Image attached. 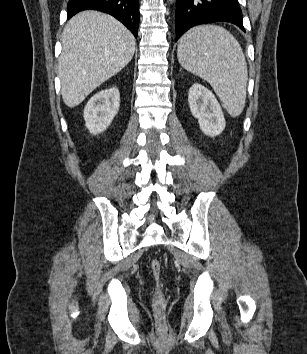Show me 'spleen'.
<instances>
[{
	"instance_id": "spleen-1",
	"label": "spleen",
	"mask_w": 307,
	"mask_h": 354,
	"mask_svg": "<svg viewBox=\"0 0 307 354\" xmlns=\"http://www.w3.org/2000/svg\"><path fill=\"white\" fill-rule=\"evenodd\" d=\"M180 65L207 81L226 111L239 116L246 100L247 63L235 37L215 25H202L187 31L178 42Z\"/></svg>"
}]
</instances>
